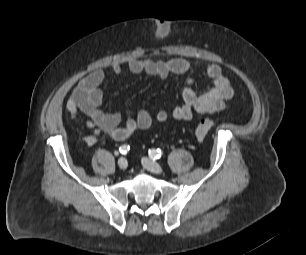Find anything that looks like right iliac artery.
<instances>
[{"label": "right iliac artery", "instance_id": "right-iliac-artery-1", "mask_svg": "<svg viewBox=\"0 0 306 255\" xmlns=\"http://www.w3.org/2000/svg\"><path fill=\"white\" fill-rule=\"evenodd\" d=\"M130 150V146L129 145H122L120 148H119V151L121 154H126L128 151Z\"/></svg>", "mask_w": 306, "mask_h": 255}]
</instances>
